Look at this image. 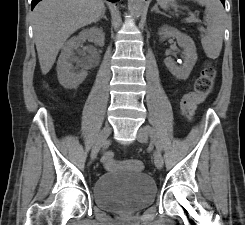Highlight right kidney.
I'll return each mask as SVG.
<instances>
[{
    "mask_svg": "<svg viewBox=\"0 0 245 225\" xmlns=\"http://www.w3.org/2000/svg\"><path fill=\"white\" fill-rule=\"evenodd\" d=\"M86 39H91L96 45L103 46L105 34L101 28L92 27L83 30L78 36L72 37L63 45L57 62V75L60 84L67 89H76L87 76V71H77L84 64L83 60L74 54V50ZM73 63H76V66Z\"/></svg>",
    "mask_w": 245,
    "mask_h": 225,
    "instance_id": "obj_1",
    "label": "right kidney"
}]
</instances>
